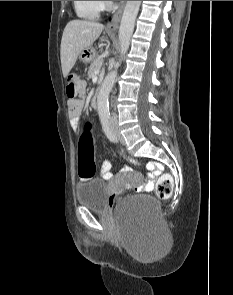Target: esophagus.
Masks as SVG:
<instances>
[{"mask_svg": "<svg viewBox=\"0 0 233 295\" xmlns=\"http://www.w3.org/2000/svg\"><path fill=\"white\" fill-rule=\"evenodd\" d=\"M125 2L126 1H121L119 8L113 14L111 21L106 26L107 31L114 32L118 29L120 19H121V16H122V13H123V10L125 7Z\"/></svg>", "mask_w": 233, "mask_h": 295, "instance_id": "obj_1", "label": "esophagus"}]
</instances>
